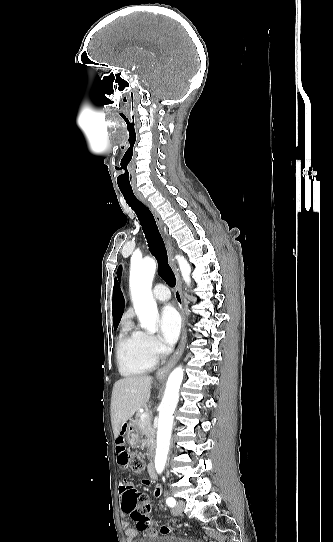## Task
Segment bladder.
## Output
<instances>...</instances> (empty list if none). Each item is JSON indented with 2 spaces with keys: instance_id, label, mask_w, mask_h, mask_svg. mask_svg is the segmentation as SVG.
<instances>
[{
  "instance_id": "1",
  "label": "bladder",
  "mask_w": 333,
  "mask_h": 542,
  "mask_svg": "<svg viewBox=\"0 0 333 542\" xmlns=\"http://www.w3.org/2000/svg\"><path fill=\"white\" fill-rule=\"evenodd\" d=\"M145 538L146 540H140L139 542H193L188 538L173 535L153 534Z\"/></svg>"
}]
</instances>
